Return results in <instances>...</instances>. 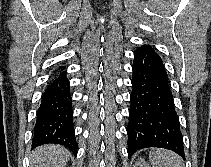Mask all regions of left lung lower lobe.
Instances as JSON below:
<instances>
[{
  "mask_svg": "<svg viewBox=\"0 0 211 167\" xmlns=\"http://www.w3.org/2000/svg\"><path fill=\"white\" fill-rule=\"evenodd\" d=\"M130 94L128 155L148 147L172 150L184 158L183 136L167 71L150 47L134 51Z\"/></svg>",
  "mask_w": 211,
  "mask_h": 167,
  "instance_id": "0a47b994",
  "label": "left lung lower lobe"
}]
</instances>
